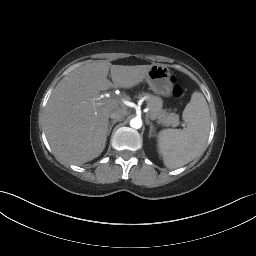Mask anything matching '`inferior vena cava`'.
Instances as JSON below:
<instances>
[{
	"label": "inferior vena cava",
	"mask_w": 256,
	"mask_h": 256,
	"mask_svg": "<svg viewBox=\"0 0 256 256\" xmlns=\"http://www.w3.org/2000/svg\"><path fill=\"white\" fill-rule=\"evenodd\" d=\"M109 116L116 121H122L124 119L123 113L119 110L112 111Z\"/></svg>",
	"instance_id": "1"
}]
</instances>
